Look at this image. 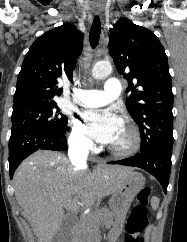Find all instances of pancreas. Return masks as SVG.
<instances>
[{"mask_svg": "<svg viewBox=\"0 0 187 242\" xmlns=\"http://www.w3.org/2000/svg\"><path fill=\"white\" fill-rule=\"evenodd\" d=\"M110 225V210L107 208L82 216L74 229V242H94L99 227Z\"/></svg>", "mask_w": 187, "mask_h": 242, "instance_id": "1", "label": "pancreas"}]
</instances>
